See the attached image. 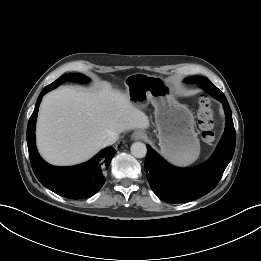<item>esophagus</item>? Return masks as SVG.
Returning a JSON list of instances; mask_svg holds the SVG:
<instances>
[{
  "label": "esophagus",
  "instance_id": "1",
  "mask_svg": "<svg viewBox=\"0 0 261 261\" xmlns=\"http://www.w3.org/2000/svg\"><path fill=\"white\" fill-rule=\"evenodd\" d=\"M131 138H132V140H134V141L142 140V139L145 138V134H144L142 131L138 130V131H135V132L132 134Z\"/></svg>",
  "mask_w": 261,
  "mask_h": 261
}]
</instances>
